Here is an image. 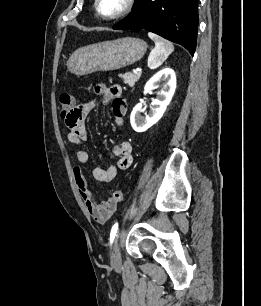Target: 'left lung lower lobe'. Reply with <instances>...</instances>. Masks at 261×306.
<instances>
[{
    "label": "left lung lower lobe",
    "mask_w": 261,
    "mask_h": 306,
    "mask_svg": "<svg viewBox=\"0 0 261 306\" xmlns=\"http://www.w3.org/2000/svg\"><path fill=\"white\" fill-rule=\"evenodd\" d=\"M198 0H139L112 28L146 29L181 44L193 55L198 28Z\"/></svg>",
    "instance_id": "1"
}]
</instances>
